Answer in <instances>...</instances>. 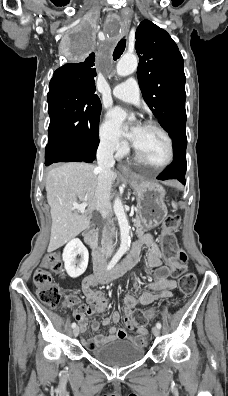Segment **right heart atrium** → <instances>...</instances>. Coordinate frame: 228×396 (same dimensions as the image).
<instances>
[{
  "label": "right heart atrium",
  "instance_id": "obj_1",
  "mask_svg": "<svg viewBox=\"0 0 228 396\" xmlns=\"http://www.w3.org/2000/svg\"><path fill=\"white\" fill-rule=\"evenodd\" d=\"M98 138L101 147L116 156H121L128 150L127 144L119 139L107 121L99 125Z\"/></svg>",
  "mask_w": 228,
  "mask_h": 396
}]
</instances>
